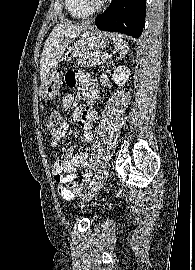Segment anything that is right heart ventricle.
<instances>
[{
  "label": "right heart ventricle",
  "mask_w": 195,
  "mask_h": 270,
  "mask_svg": "<svg viewBox=\"0 0 195 270\" xmlns=\"http://www.w3.org/2000/svg\"><path fill=\"white\" fill-rule=\"evenodd\" d=\"M65 4L68 13L73 18L82 19L94 13L82 0H65Z\"/></svg>",
  "instance_id": "1"
}]
</instances>
